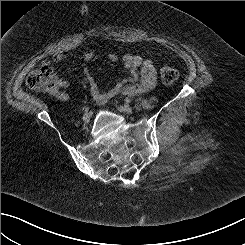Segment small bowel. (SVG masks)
I'll return each instance as SVG.
<instances>
[{
    "label": "small bowel",
    "mask_w": 245,
    "mask_h": 245,
    "mask_svg": "<svg viewBox=\"0 0 245 245\" xmlns=\"http://www.w3.org/2000/svg\"><path fill=\"white\" fill-rule=\"evenodd\" d=\"M66 54L60 52L54 55V62H61ZM85 59L89 60L93 57L91 52H86ZM109 59L111 62L116 63L119 60L123 63L128 71V77L118 82L113 87L106 91H100L96 82L90 75L87 69L83 70L85 80L89 85L90 94L93 100L98 104H105L111 98L117 95L136 96L151 91L157 80V70L152 60L144 58L137 54H125L121 59L115 54H110ZM43 64H50L49 61H44ZM65 86V82H61ZM65 98L64 94L60 95Z\"/></svg>",
    "instance_id": "small-bowel-1"
}]
</instances>
